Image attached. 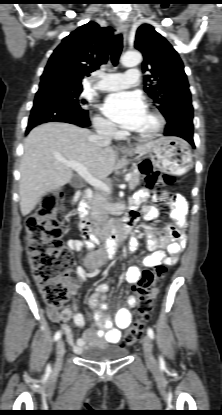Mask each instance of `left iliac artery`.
<instances>
[{
	"label": "left iliac artery",
	"mask_w": 222,
	"mask_h": 415,
	"mask_svg": "<svg viewBox=\"0 0 222 415\" xmlns=\"http://www.w3.org/2000/svg\"><path fill=\"white\" fill-rule=\"evenodd\" d=\"M147 334H148V336H149L151 339H153V338H154V332H153V330H152L151 328H149V329H148Z\"/></svg>",
	"instance_id": "1"
}]
</instances>
